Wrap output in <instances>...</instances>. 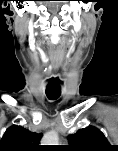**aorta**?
I'll list each match as a JSON object with an SVG mask.
<instances>
[{"label":"aorta","instance_id":"aorta-1","mask_svg":"<svg viewBox=\"0 0 118 151\" xmlns=\"http://www.w3.org/2000/svg\"><path fill=\"white\" fill-rule=\"evenodd\" d=\"M58 142L59 136L55 131L47 132L41 140L42 145H58Z\"/></svg>","mask_w":118,"mask_h":151}]
</instances>
